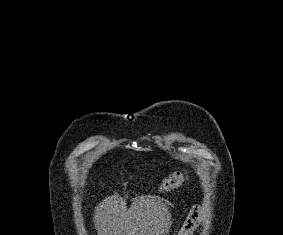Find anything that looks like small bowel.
Returning <instances> with one entry per match:
<instances>
[{"mask_svg":"<svg viewBox=\"0 0 283 235\" xmlns=\"http://www.w3.org/2000/svg\"><path fill=\"white\" fill-rule=\"evenodd\" d=\"M203 216V207L198 206L191 210L189 217L186 222L187 228H193L202 218Z\"/></svg>","mask_w":283,"mask_h":235,"instance_id":"1","label":"small bowel"}]
</instances>
